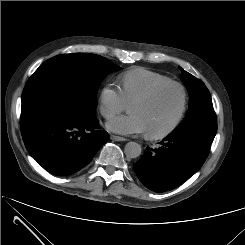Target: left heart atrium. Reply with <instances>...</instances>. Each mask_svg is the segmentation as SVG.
<instances>
[{
	"instance_id": "left-heart-atrium-1",
	"label": "left heart atrium",
	"mask_w": 245,
	"mask_h": 245,
	"mask_svg": "<svg viewBox=\"0 0 245 245\" xmlns=\"http://www.w3.org/2000/svg\"><path fill=\"white\" fill-rule=\"evenodd\" d=\"M106 126L112 132L125 135L146 132L143 121L135 113L113 118L107 122Z\"/></svg>"
}]
</instances>
